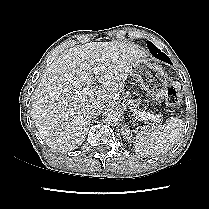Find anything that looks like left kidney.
I'll list each match as a JSON object with an SVG mask.
<instances>
[{"mask_svg": "<svg viewBox=\"0 0 209 209\" xmlns=\"http://www.w3.org/2000/svg\"><path fill=\"white\" fill-rule=\"evenodd\" d=\"M121 131H122L123 137L125 139H129V137H130V129H129V127L128 126H123Z\"/></svg>", "mask_w": 209, "mask_h": 209, "instance_id": "1", "label": "left kidney"}]
</instances>
